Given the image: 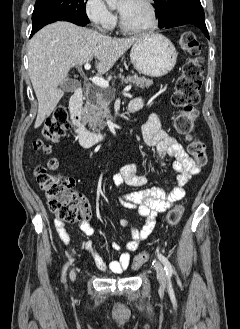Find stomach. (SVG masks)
<instances>
[{
	"mask_svg": "<svg viewBox=\"0 0 240 329\" xmlns=\"http://www.w3.org/2000/svg\"><path fill=\"white\" fill-rule=\"evenodd\" d=\"M177 51L165 36L152 33L140 36L130 51L135 69L144 75L160 77L169 73L176 64Z\"/></svg>",
	"mask_w": 240,
	"mask_h": 329,
	"instance_id": "1",
	"label": "stomach"
}]
</instances>
